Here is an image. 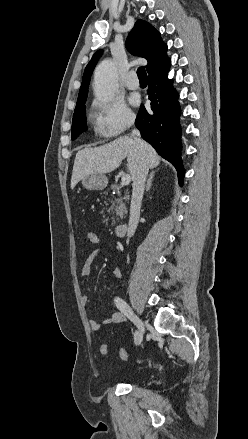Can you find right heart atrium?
Masks as SVG:
<instances>
[{"mask_svg":"<svg viewBox=\"0 0 248 439\" xmlns=\"http://www.w3.org/2000/svg\"><path fill=\"white\" fill-rule=\"evenodd\" d=\"M92 121L100 137L114 138L133 125L135 114L121 99H96L92 104Z\"/></svg>","mask_w":248,"mask_h":439,"instance_id":"right-heart-atrium-1","label":"right heart atrium"}]
</instances>
